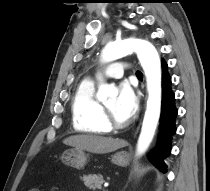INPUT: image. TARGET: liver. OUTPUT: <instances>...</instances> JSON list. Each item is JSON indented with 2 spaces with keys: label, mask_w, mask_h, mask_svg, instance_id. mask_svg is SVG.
Segmentation results:
<instances>
[{
  "label": "liver",
  "mask_w": 210,
  "mask_h": 191,
  "mask_svg": "<svg viewBox=\"0 0 210 191\" xmlns=\"http://www.w3.org/2000/svg\"><path fill=\"white\" fill-rule=\"evenodd\" d=\"M65 145L75 149L86 150L96 154L113 152L126 146L127 142L119 138L103 137L97 135H75L63 140Z\"/></svg>",
  "instance_id": "liver-1"
}]
</instances>
